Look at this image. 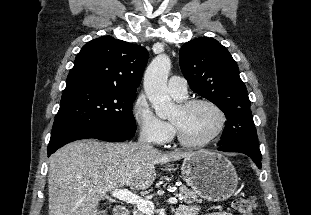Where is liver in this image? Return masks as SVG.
<instances>
[{
	"mask_svg": "<svg viewBox=\"0 0 311 215\" xmlns=\"http://www.w3.org/2000/svg\"><path fill=\"white\" fill-rule=\"evenodd\" d=\"M193 153L161 152L138 143L81 140L49 159V215H98L99 202L115 189H148L155 165L186 159Z\"/></svg>",
	"mask_w": 311,
	"mask_h": 215,
	"instance_id": "1",
	"label": "liver"
}]
</instances>
